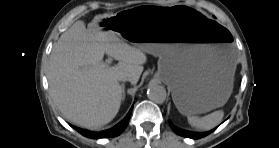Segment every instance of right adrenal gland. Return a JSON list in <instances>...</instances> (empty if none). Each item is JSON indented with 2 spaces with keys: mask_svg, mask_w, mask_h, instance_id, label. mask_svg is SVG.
Wrapping results in <instances>:
<instances>
[{
  "mask_svg": "<svg viewBox=\"0 0 279 148\" xmlns=\"http://www.w3.org/2000/svg\"><path fill=\"white\" fill-rule=\"evenodd\" d=\"M121 87H122V100H124L125 99V86H124V84H122Z\"/></svg>",
  "mask_w": 279,
  "mask_h": 148,
  "instance_id": "right-adrenal-gland-1",
  "label": "right adrenal gland"
}]
</instances>
